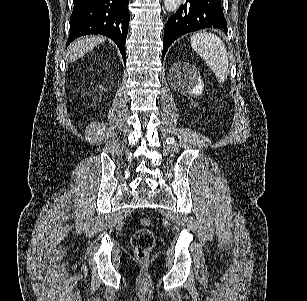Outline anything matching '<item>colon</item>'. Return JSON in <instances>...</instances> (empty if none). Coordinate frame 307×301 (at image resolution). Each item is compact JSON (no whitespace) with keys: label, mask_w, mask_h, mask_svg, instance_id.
Wrapping results in <instances>:
<instances>
[{"label":"colon","mask_w":307,"mask_h":301,"mask_svg":"<svg viewBox=\"0 0 307 301\" xmlns=\"http://www.w3.org/2000/svg\"><path fill=\"white\" fill-rule=\"evenodd\" d=\"M140 228L137 229L131 238V244L136 257L144 261L149 257L155 243V235L151 230V219L142 217L139 221Z\"/></svg>","instance_id":"5ec220e1"}]
</instances>
